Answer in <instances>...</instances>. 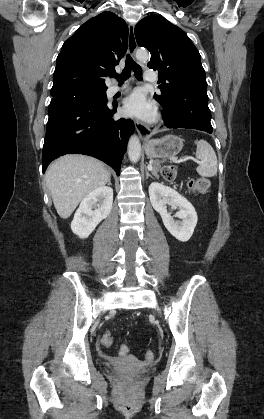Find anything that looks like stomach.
I'll return each mask as SVG.
<instances>
[{
    "mask_svg": "<svg viewBox=\"0 0 264 419\" xmlns=\"http://www.w3.org/2000/svg\"><path fill=\"white\" fill-rule=\"evenodd\" d=\"M182 148L183 139L175 135L148 140L145 144V152L149 158H170L177 155Z\"/></svg>",
    "mask_w": 264,
    "mask_h": 419,
    "instance_id": "obj_1",
    "label": "stomach"
}]
</instances>
